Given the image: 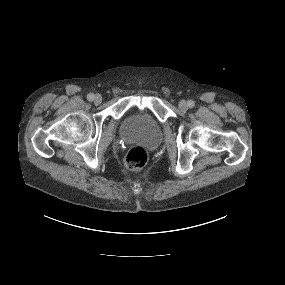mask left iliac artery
I'll use <instances>...</instances> for the list:
<instances>
[{
  "label": "left iliac artery",
  "mask_w": 285,
  "mask_h": 285,
  "mask_svg": "<svg viewBox=\"0 0 285 285\" xmlns=\"http://www.w3.org/2000/svg\"><path fill=\"white\" fill-rule=\"evenodd\" d=\"M188 106H189L190 108H193V107L195 106L194 101L189 100V101H188Z\"/></svg>",
  "instance_id": "44dca946"
}]
</instances>
